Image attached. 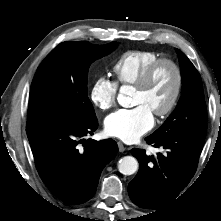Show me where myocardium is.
Segmentation results:
<instances>
[{"instance_id":"1","label":"myocardium","mask_w":221,"mask_h":221,"mask_svg":"<svg viewBox=\"0 0 221 221\" xmlns=\"http://www.w3.org/2000/svg\"><path fill=\"white\" fill-rule=\"evenodd\" d=\"M162 65H169L174 70L175 85L168 104L162 110L154 112V114L160 118L168 116L174 110L179 101L183 87V72L179 64L170 58H159L145 68L133 85L136 89H144L152 79L157 69Z\"/></svg>"}]
</instances>
